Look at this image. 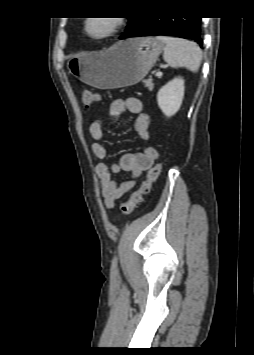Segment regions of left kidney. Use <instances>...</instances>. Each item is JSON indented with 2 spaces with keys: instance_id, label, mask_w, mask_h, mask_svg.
Instances as JSON below:
<instances>
[{
  "instance_id": "obj_1",
  "label": "left kidney",
  "mask_w": 254,
  "mask_h": 355,
  "mask_svg": "<svg viewBox=\"0 0 254 355\" xmlns=\"http://www.w3.org/2000/svg\"><path fill=\"white\" fill-rule=\"evenodd\" d=\"M184 89V80L181 77H176L158 91V106L167 117L173 116L180 109Z\"/></svg>"
}]
</instances>
